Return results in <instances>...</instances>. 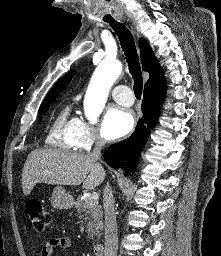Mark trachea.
Wrapping results in <instances>:
<instances>
[{
  "label": "trachea",
  "mask_w": 221,
  "mask_h": 256,
  "mask_svg": "<svg viewBox=\"0 0 221 256\" xmlns=\"http://www.w3.org/2000/svg\"><path fill=\"white\" fill-rule=\"evenodd\" d=\"M110 25L118 35L121 47L126 56L130 74L134 79L133 89L135 96L137 99H140L143 90V77L133 36L122 23L113 21L110 22Z\"/></svg>",
  "instance_id": "3493384b"
}]
</instances>
